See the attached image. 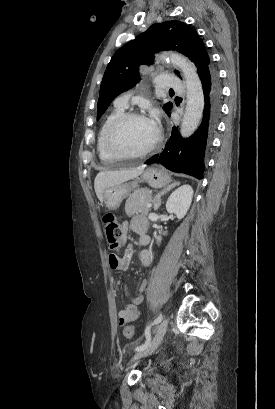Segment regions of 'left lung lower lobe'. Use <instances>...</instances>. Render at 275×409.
Returning a JSON list of instances; mask_svg holds the SVG:
<instances>
[{
    "mask_svg": "<svg viewBox=\"0 0 275 409\" xmlns=\"http://www.w3.org/2000/svg\"><path fill=\"white\" fill-rule=\"evenodd\" d=\"M199 77L204 91L205 108L203 121L198 130L191 137L184 139L174 126L162 153L151 157L146 163H160L173 172L203 179L204 154L209 142L208 137L216 130L220 115L221 86L217 71L211 63L199 73Z\"/></svg>",
    "mask_w": 275,
    "mask_h": 409,
    "instance_id": "obj_1",
    "label": "left lung lower lobe"
}]
</instances>
